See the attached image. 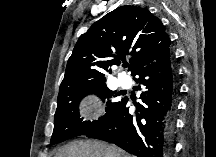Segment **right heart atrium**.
Returning <instances> with one entry per match:
<instances>
[{
	"mask_svg": "<svg viewBox=\"0 0 216 157\" xmlns=\"http://www.w3.org/2000/svg\"><path fill=\"white\" fill-rule=\"evenodd\" d=\"M103 113V107L97 97H93L90 101V110L88 116L90 119H98Z\"/></svg>",
	"mask_w": 216,
	"mask_h": 157,
	"instance_id": "right-heart-atrium-1",
	"label": "right heart atrium"
}]
</instances>
